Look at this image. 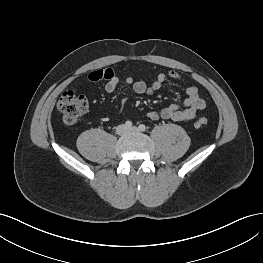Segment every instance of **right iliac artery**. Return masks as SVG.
<instances>
[{"instance_id": "82829eb1", "label": "right iliac artery", "mask_w": 263, "mask_h": 263, "mask_svg": "<svg viewBox=\"0 0 263 263\" xmlns=\"http://www.w3.org/2000/svg\"><path fill=\"white\" fill-rule=\"evenodd\" d=\"M125 126H126L127 128H131V127H132V122H131V121H126V122H125Z\"/></svg>"}]
</instances>
